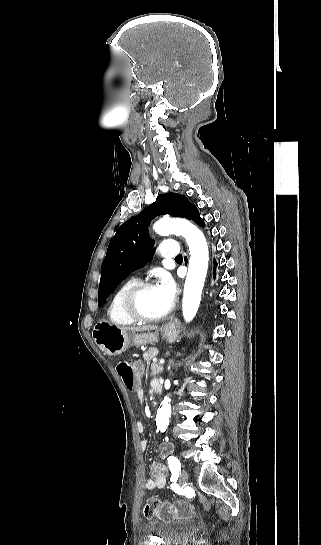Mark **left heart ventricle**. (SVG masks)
<instances>
[{"label": "left heart ventricle", "mask_w": 321, "mask_h": 545, "mask_svg": "<svg viewBox=\"0 0 321 545\" xmlns=\"http://www.w3.org/2000/svg\"><path fill=\"white\" fill-rule=\"evenodd\" d=\"M135 310L142 315H158L166 312L170 306L156 287L140 293L134 302Z\"/></svg>", "instance_id": "1"}]
</instances>
